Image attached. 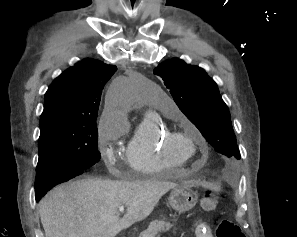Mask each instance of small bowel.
<instances>
[{
  "label": "small bowel",
  "mask_w": 297,
  "mask_h": 237,
  "mask_svg": "<svg viewBox=\"0 0 297 237\" xmlns=\"http://www.w3.org/2000/svg\"><path fill=\"white\" fill-rule=\"evenodd\" d=\"M194 233L196 237H213L211 229L204 222L196 224Z\"/></svg>",
  "instance_id": "small-bowel-1"
}]
</instances>
